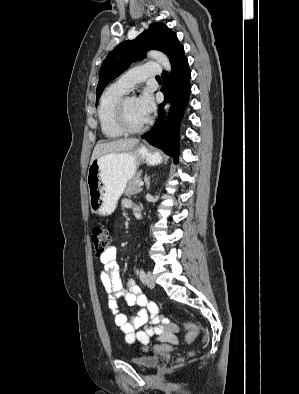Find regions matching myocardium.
<instances>
[{"label": "myocardium", "mask_w": 299, "mask_h": 394, "mask_svg": "<svg viewBox=\"0 0 299 394\" xmlns=\"http://www.w3.org/2000/svg\"><path fill=\"white\" fill-rule=\"evenodd\" d=\"M130 98H135L133 95L130 94H124L116 103L115 109H114V119L117 127L123 132L127 134H134L141 132L146 128L148 125L149 121L146 119V121L136 127L130 126L125 117V104L128 99Z\"/></svg>", "instance_id": "obj_1"}]
</instances>
